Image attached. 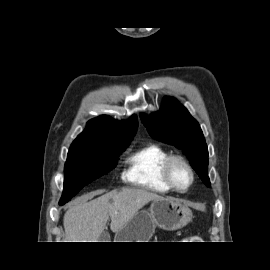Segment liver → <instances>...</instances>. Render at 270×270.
<instances>
[{"mask_svg":"<svg viewBox=\"0 0 270 270\" xmlns=\"http://www.w3.org/2000/svg\"><path fill=\"white\" fill-rule=\"evenodd\" d=\"M102 192L97 191L83 197L79 203L66 211L63 219L65 240H68L66 242H99V237L106 228L109 217L110 229L117 232L143 206L150 201L162 198L144 189L122 188L92 199Z\"/></svg>","mask_w":270,"mask_h":270,"instance_id":"liver-1","label":"liver"}]
</instances>
